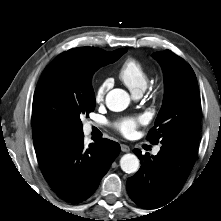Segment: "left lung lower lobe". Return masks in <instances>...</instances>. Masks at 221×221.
Wrapping results in <instances>:
<instances>
[{
    "label": "left lung lower lobe",
    "mask_w": 221,
    "mask_h": 221,
    "mask_svg": "<svg viewBox=\"0 0 221 221\" xmlns=\"http://www.w3.org/2000/svg\"><path fill=\"white\" fill-rule=\"evenodd\" d=\"M133 152L141 161L139 171L127 180L130 198L139 206L155 209L172 200L189 176L196 158V150L163 144L156 156Z\"/></svg>",
    "instance_id": "0a47b994"
}]
</instances>
